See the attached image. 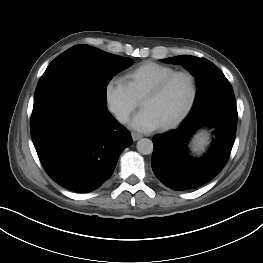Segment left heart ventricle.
Segmentation results:
<instances>
[{"mask_svg":"<svg viewBox=\"0 0 263 263\" xmlns=\"http://www.w3.org/2000/svg\"><path fill=\"white\" fill-rule=\"evenodd\" d=\"M191 97V83L185 76L174 78L155 98L142 103L144 109L151 111L160 125L175 119L187 106Z\"/></svg>","mask_w":263,"mask_h":263,"instance_id":"b2bd125f","label":"left heart ventricle"}]
</instances>
